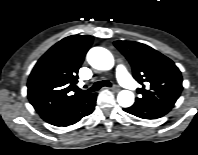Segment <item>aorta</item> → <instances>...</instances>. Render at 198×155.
I'll return each mask as SVG.
<instances>
[{
	"label": "aorta",
	"instance_id": "762f6f07",
	"mask_svg": "<svg viewBox=\"0 0 198 155\" xmlns=\"http://www.w3.org/2000/svg\"><path fill=\"white\" fill-rule=\"evenodd\" d=\"M88 63L98 70H110L114 66V58L111 52L103 47H93L87 53ZM135 96L129 90H122L117 95V101L122 107H130L134 103Z\"/></svg>",
	"mask_w": 198,
	"mask_h": 155
}]
</instances>
